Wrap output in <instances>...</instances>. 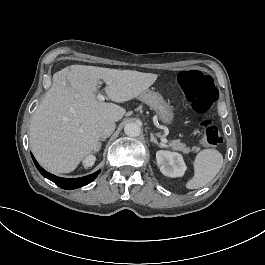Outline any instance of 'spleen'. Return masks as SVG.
Segmentation results:
<instances>
[{
	"instance_id": "1",
	"label": "spleen",
	"mask_w": 265,
	"mask_h": 265,
	"mask_svg": "<svg viewBox=\"0 0 265 265\" xmlns=\"http://www.w3.org/2000/svg\"><path fill=\"white\" fill-rule=\"evenodd\" d=\"M223 162L222 153L215 148L198 151L192 162L193 176L185 183V187L198 189L208 184L219 173Z\"/></svg>"
}]
</instances>
